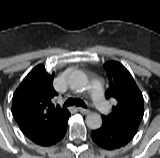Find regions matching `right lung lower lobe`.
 Returning <instances> with one entry per match:
<instances>
[{
    "mask_svg": "<svg viewBox=\"0 0 160 158\" xmlns=\"http://www.w3.org/2000/svg\"><path fill=\"white\" fill-rule=\"evenodd\" d=\"M67 121L68 119H66L65 122L55 130H52L51 132L40 136L32 141L41 146H50L57 143L65 136L67 130Z\"/></svg>",
    "mask_w": 160,
    "mask_h": 158,
    "instance_id": "98d812e1",
    "label": "right lung lower lobe"
}]
</instances>
